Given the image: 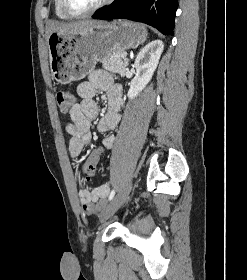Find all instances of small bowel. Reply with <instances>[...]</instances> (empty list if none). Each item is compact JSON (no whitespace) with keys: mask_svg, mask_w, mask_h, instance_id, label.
Wrapping results in <instances>:
<instances>
[{"mask_svg":"<svg viewBox=\"0 0 247 280\" xmlns=\"http://www.w3.org/2000/svg\"><path fill=\"white\" fill-rule=\"evenodd\" d=\"M98 91L106 93L108 108L105 114L98 119L100 109L94 97ZM77 93L81 101L75 103L70 109V122L66 126L69 134L68 153L72 159H77L84 147L92 140L90 126L97 120V130L106 134L102 141L105 150L114 145V136L107 134L114 130L120 121V109L122 106L121 87L114 83L112 76L103 70H97L90 74L88 80L77 86ZM109 194V185L104 183L93 190L82 189L79 199L83 211L87 214H95L104 204Z\"/></svg>","mask_w":247,"mask_h":280,"instance_id":"c3829d8e","label":"small bowel"}]
</instances>
